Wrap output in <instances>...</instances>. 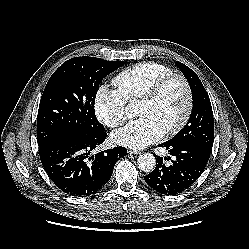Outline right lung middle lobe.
I'll return each mask as SVG.
<instances>
[{
    "label": "right lung middle lobe",
    "instance_id": "dd1d6c3e",
    "mask_svg": "<svg viewBox=\"0 0 249 249\" xmlns=\"http://www.w3.org/2000/svg\"><path fill=\"white\" fill-rule=\"evenodd\" d=\"M124 64L94 57H75L64 62L50 77L40 100L38 145L65 134L104 132L95 116V97L103 78Z\"/></svg>",
    "mask_w": 249,
    "mask_h": 249
}]
</instances>
